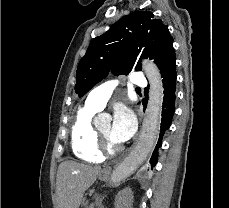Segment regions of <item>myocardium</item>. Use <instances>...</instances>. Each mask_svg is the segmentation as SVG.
Segmentation results:
<instances>
[{"label": "myocardium", "instance_id": "obj_1", "mask_svg": "<svg viewBox=\"0 0 229 208\" xmlns=\"http://www.w3.org/2000/svg\"><path fill=\"white\" fill-rule=\"evenodd\" d=\"M95 133L101 142L98 143V148L96 149L97 153H113L120 149L119 145L111 142L108 138L100 134L98 129H95Z\"/></svg>", "mask_w": 229, "mask_h": 208}]
</instances>
